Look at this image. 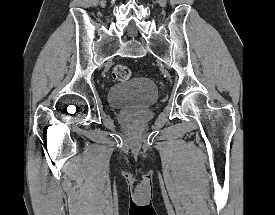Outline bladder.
Instances as JSON below:
<instances>
[{"mask_svg": "<svg viewBox=\"0 0 275 215\" xmlns=\"http://www.w3.org/2000/svg\"><path fill=\"white\" fill-rule=\"evenodd\" d=\"M158 100V90L149 78H133L112 85L107 91V102L117 109L145 108Z\"/></svg>", "mask_w": 275, "mask_h": 215, "instance_id": "31cf9c89", "label": "bladder"}]
</instances>
